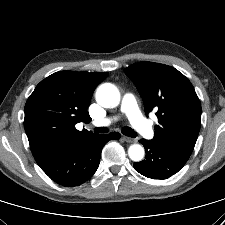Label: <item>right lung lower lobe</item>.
I'll use <instances>...</instances> for the list:
<instances>
[{"instance_id":"obj_1","label":"right lung lower lobe","mask_w":225,"mask_h":225,"mask_svg":"<svg viewBox=\"0 0 225 225\" xmlns=\"http://www.w3.org/2000/svg\"><path fill=\"white\" fill-rule=\"evenodd\" d=\"M120 137L119 133L112 132L64 142L49 150L36 162L54 182L65 187L78 186L96 172L105 143Z\"/></svg>"}]
</instances>
